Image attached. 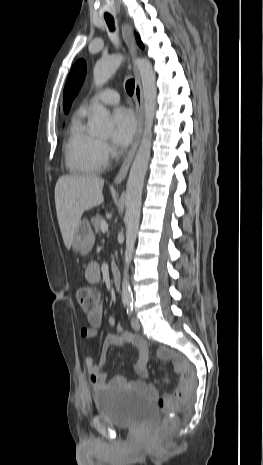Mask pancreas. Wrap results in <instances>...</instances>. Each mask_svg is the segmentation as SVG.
<instances>
[{"instance_id": "1", "label": "pancreas", "mask_w": 263, "mask_h": 465, "mask_svg": "<svg viewBox=\"0 0 263 465\" xmlns=\"http://www.w3.org/2000/svg\"><path fill=\"white\" fill-rule=\"evenodd\" d=\"M103 222V219L100 215H96V216H93L91 218V223H92V226L95 230V233H99L100 229H101V223Z\"/></svg>"}]
</instances>
